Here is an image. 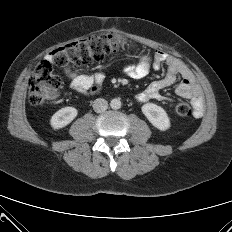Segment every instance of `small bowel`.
<instances>
[{"label":"small bowel","mask_w":232,"mask_h":232,"mask_svg":"<svg viewBox=\"0 0 232 232\" xmlns=\"http://www.w3.org/2000/svg\"><path fill=\"white\" fill-rule=\"evenodd\" d=\"M164 65L167 66L164 77L150 83L142 92L137 94L136 99L140 102L152 99L163 100L165 97L162 95V90L174 84L177 77H181L180 83L175 88V93L190 100L194 115L201 116L204 109L201 90L195 83L192 70L178 57L164 51H157L153 57L143 55L137 61L129 63L124 72L130 79L140 80L145 78L152 68L160 70ZM64 72L70 88L78 94H88L98 90L105 78L101 71L82 73L67 69Z\"/></svg>","instance_id":"1"}]
</instances>
